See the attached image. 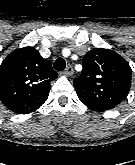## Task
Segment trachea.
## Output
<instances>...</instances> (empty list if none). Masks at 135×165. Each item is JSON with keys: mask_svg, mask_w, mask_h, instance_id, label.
Returning <instances> with one entry per match:
<instances>
[{"mask_svg": "<svg viewBox=\"0 0 135 165\" xmlns=\"http://www.w3.org/2000/svg\"><path fill=\"white\" fill-rule=\"evenodd\" d=\"M65 67H66V62L61 57H59L54 63V69L57 71H63Z\"/></svg>", "mask_w": 135, "mask_h": 165, "instance_id": "1", "label": "trachea"}]
</instances>
